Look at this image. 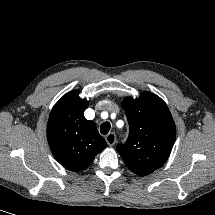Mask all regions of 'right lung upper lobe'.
Returning a JSON list of instances; mask_svg holds the SVG:
<instances>
[{
  "mask_svg": "<svg viewBox=\"0 0 215 215\" xmlns=\"http://www.w3.org/2000/svg\"><path fill=\"white\" fill-rule=\"evenodd\" d=\"M88 105L79 97V91L73 90L55 104L47 123V139L54 157L74 172L88 167L107 146L94 122L84 117Z\"/></svg>",
  "mask_w": 215,
  "mask_h": 215,
  "instance_id": "cb5924a9",
  "label": "right lung upper lobe"
}]
</instances>
